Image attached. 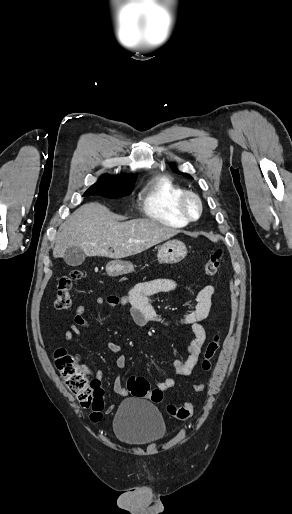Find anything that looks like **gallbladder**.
Listing matches in <instances>:
<instances>
[{"mask_svg":"<svg viewBox=\"0 0 292 514\" xmlns=\"http://www.w3.org/2000/svg\"><path fill=\"white\" fill-rule=\"evenodd\" d=\"M63 258L68 266H80L85 262L86 254L78 246H71L65 250Z\"/></svg>","mask_w":292,"mask_h":514,"instance_id":"1","label":"gallbladder"}]
</instances>
